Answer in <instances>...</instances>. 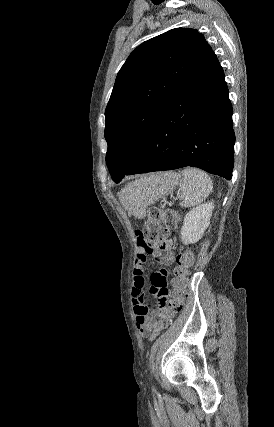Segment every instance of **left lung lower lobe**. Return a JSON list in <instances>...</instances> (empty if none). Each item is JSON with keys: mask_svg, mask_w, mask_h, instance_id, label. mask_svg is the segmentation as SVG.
I'll list each match as a JSON object with an SVG mask.
<instances>
[{"mask_svg": "<svg viewBox=\"0 0 274 427\" xmlns=\"http://www.w3.org/2000/svg\"><path fill=\"white\" fill-rule=\"evenodd\" d=\"M223 70L213 51L164 110L143 151L113 177L192 166L230 180L235 135Z\"/></svg>", "mask_w": 274, "mask_h": 427, "instance_id": "left-lung-lower-lobe-1", "label": "left lung lower lobe"}]
</instances>
